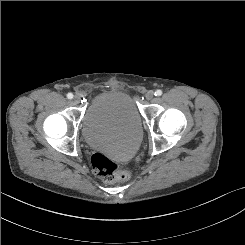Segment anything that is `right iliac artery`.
I'll return each instance as SVG.
<instances>
[{
    "mask_svg": "<svg viewBox=\"0 0 245 245\" xmlns=\"http://www.w3.org/2000/svg\"><path fill=\"white\" fill-rule=\"evenodd\" d=\"M67 98H68V99H72V98H73V94H72V93H68V94H67Z\"/></svg>",
    "mask_w": 245,
    "mask_h": 245,
    "instance_id": "obj_1",
    "label": "right iliac artery"
}]
</instances>
